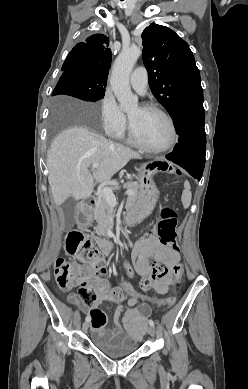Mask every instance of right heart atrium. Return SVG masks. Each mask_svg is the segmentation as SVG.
<instances>
[{"label": "right heart atrium", "instance_id": "obj_1", "mask_svg": "<svg viewBox=\"0 0 248 389\" xmlns=\"http://www.w3.org/2000/svg\"><path fill=\"white\" fill-rule=\"evenodd\" d=\"M100 117L102 128L108 135L119 137L124 133L127 118L110 92H106L101 99Z\"/></svg>", "mask_w": 248, "mask_h": 389}]
</instances>
